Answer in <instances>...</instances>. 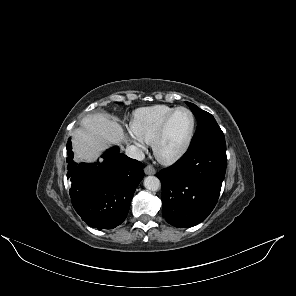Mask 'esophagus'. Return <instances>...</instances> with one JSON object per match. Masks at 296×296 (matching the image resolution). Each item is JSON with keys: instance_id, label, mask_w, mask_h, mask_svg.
Wrapping results in <instances>:
<instances>
[{"instance_id": "34e87169", "label": "esophagus", "mask_w": 296, "mask_h": 296, "mask_svg": "<svg viewBox=\"0 0 296 296\" xmlns=\"http://www.w3.org/2000/svg\"><path fill=\"white\" fill-rule=\"evenodd\" d=\"M144 171H145V174H147V175H154L156 173V171L152 165L146 166Z\"/></svg>"}]
</instances>
